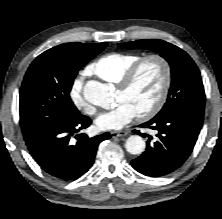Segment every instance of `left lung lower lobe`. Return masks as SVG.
<instances>
[{
    "mask_svg": "<svg viewBox=\"0 0 222 219\" xmlns=\"http://www.w3.org/2000/svg\"><path fill=\"white\" fill-rule=\"evenodd\" d=\"M202 125L203 116L183 110H174L141 124L139 127L156 130L157 140L151 143V136L133 131L143 137L148 136V140L146 151L132 160V167L152 177L173 172L191 154Z\"/></svg>",
    "mask_w": 222,
    "mask_h": 219,
    "instance_id": "left-lung-lower-lobe-1",
    "label": "left lung lower lobe"
}]
</instances>
